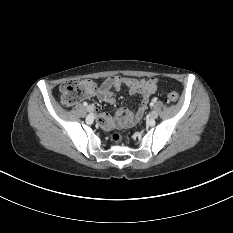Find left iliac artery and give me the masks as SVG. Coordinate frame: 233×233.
<instances>
[{"mask_svg":"<svg viewBox=\"0 0 233 233\" xmlns=\"http://www.w3.org/2000/svg\"><path fill=\"white\" fill-rule=\"evenodd\" d=\"M154 101H155V99H154ZM150 106H151V107H153V106H154V103H153V102H151V103H150Z\"/></svg>","mask_w":233,"mask_h":233,"instance_id":"44dca946","label":"left iliac artery"}]
</instances>
